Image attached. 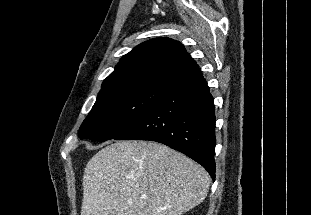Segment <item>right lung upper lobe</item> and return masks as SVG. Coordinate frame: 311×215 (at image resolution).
I'll return each instance as SVG.
<instances>
[{
  "instance_id": "obj_1",
  "label": "right lung upper lobe",
  "mask_w": 311,
  "mask_h": 215,
  "mask_svg": "<svg viewBox=\"0 0 311 215\" xmlns=\"http://www.w3.org/2000/svg\"><path fill=\"white\" fill-rule=\"evenodd\" d=\"M199 69L183 45L171 38L145 41L127 53L104 80L101 90L125 84H171Z\"/></svg>"
}]
</instances>
